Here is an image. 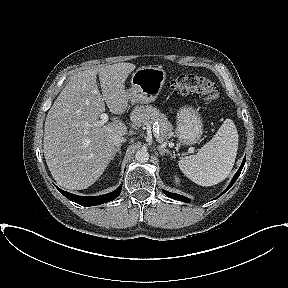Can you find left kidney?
<instances>
[{"label": "left kidney", "mask_w": 288, "mask_h": 288, "mask_svg": "<svg viewBox=\"0 0 288 288\" xmlns=\"http://www.w3.org/2000/svg\"><path fill=\"white\" fill-rule=\"evenodd\" d=\"M175 181H176V182H179V179H178V177H175Z\"/></svg>", "instance_id": "1"}]
</instances>
